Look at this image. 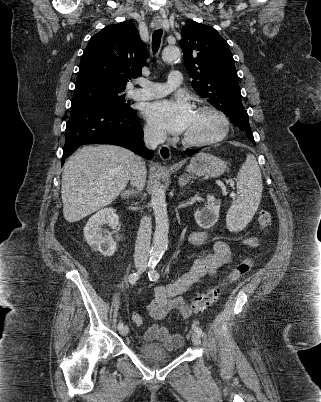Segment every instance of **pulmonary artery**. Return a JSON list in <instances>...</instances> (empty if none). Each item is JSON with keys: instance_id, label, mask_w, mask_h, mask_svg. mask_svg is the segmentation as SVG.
Here are the masks:
<instances>
[{"instance_id": "obj_1", "label": "pulmonary artery", "mask_w": 321, "mask_h": 402, "mask_svg": "<svg viewBox=\"0 0 321 402\" xmlns=\"http://www.w3.org/2000/svg\"><path fill=\"white\" fill-rule=\"evenodd\" d=\"M182 83V75L179 71H173L166 83H156L147 79L138 81L139 88L131 91V97L137 100H150L169 94Z\"/></svg>"}]
</instances>
